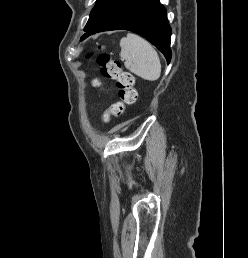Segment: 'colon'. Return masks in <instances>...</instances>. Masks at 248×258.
I'll return each mask as SVG.
<instances>
[{"mask_svg":"<svg viewBox=\"0 0 248 258\" xmlns=\"http://www.w3.org/2000/svg\"><path fill=\"white\" fill-rule=\"evenodd\" d=\"M97 66L103 77L116 81L118 100L114 102L101 116V120L107 123L112 117H121L126 106L136 102L137 92L134 87V77L131 73L124 71L119 60L110 55L102 53L96 59ZM95 87H101L99 79L93 80Z\"/></svg>","mask_w":248,"mask_h":258,"instance_id":"1","label":"colon"}]
</instances>
